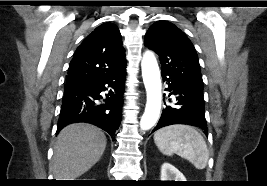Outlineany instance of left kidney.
Instances as JSON below:
<instances>
[{"mask_svg":"<svg viewBox=\"0 0 267 186\" xmlns=\"http://www.w3.org/2000/svg\"><path fill=\"white\" fill-rule=\"evenodd\" d=\"M161 181H186L184 175L169 163L161 167Z\"/></svg>","mask_w":267,"mask_h":186,"instance_id":"5707ae66","label":"left kidney"}]
</instances>
